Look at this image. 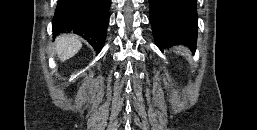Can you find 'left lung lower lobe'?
<instances>
[{
	"label": "left lung lower lobe",
	"instance_id": "1",
	"mask_svg": "<svg viewBox=\"0 0 257 130\" xmlns=\"http://www.w3.org/2000/svg\"><path fill=\"white\" fill-rule=\"evenodd\" d=\"M150 23L160 48L186 45L196 49V0H149Z\"/></svg>",
	"mask_w": 257,
	"mask_h": 130
}]
</instances>
